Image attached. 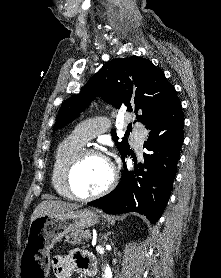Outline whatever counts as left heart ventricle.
Segmentation results:
<instances>
[{
	"mask_svg": "<svg viewBox=\"0 0 221 278\" xmlns=\"http://www.w3.org/2000/svg\"><path fill=\"white\" fill-rule=\"evenodd\" d=\"M110 179V168L107 161L100 156L90 155L77 166L73 185L82 195L95 193L106 186Z\"/></svg>",
	"mask_w": 221,
	"mask_h": 278,
	"instance_id": "1",
	"label": "left heart ventricle"
}]
</instances>
